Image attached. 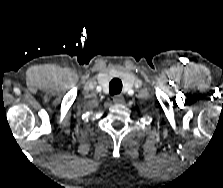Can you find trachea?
Instances as JSON below:
<instances>
[{"label": "trachea", "mask_w": 223, "mask_h": 188, "mask_svg": "<svg viewBox=\"0 0 223 188\" xmlns=\"http://www.w3.org/2000/svg\"><path fill=\"white\" fill-rule=\"evenodd\" d=\"M122 91V82L118 78L111 80L109 84V92L111 95L119 94Z\"/></svg>", "instance_id": "obj_1"}]
</instances>
